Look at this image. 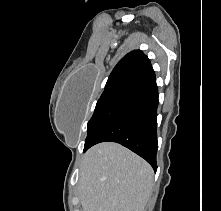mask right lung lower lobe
Returning <instances> with one entry per match:
<instances>
[{"mask_svg":"<svg viewBox=\"0 0 221 211\" xmlns=\"http://www.w3.org/2000/svg\"><path fill=\"white\" fill-rule=\"evenodd\" d=\"M157 107L158 88L155 82L139 89L101 132L84 146V152L100 142L120 143L144 158L156 171Z\"/></svg>","mask_w":221,"mask_h":211,"instance_id":"98d812e1","label":"right lung lower lobe"}]
</instances>
